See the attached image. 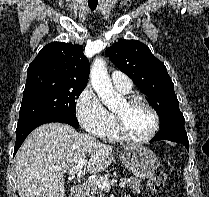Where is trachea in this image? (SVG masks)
<instances>
[{"instance_id":"3493384b","label":"trachea","mask_w":209,"mask_h":197,"mask_svg":"<svg viewBox=\"0 0 209 197\" xmlns=\"http://www.w3.org/2000/svg\"><path fill=\"white\" fill-rule=\"evenodd\" d=\"M97 4H98V0L88 1V6L92 11H94L96 9Z\"/></svg>"}]
</instances>
